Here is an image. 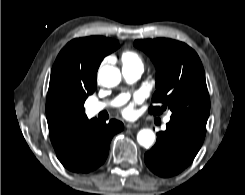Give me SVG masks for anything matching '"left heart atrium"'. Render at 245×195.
Wrapping results in <instances>:
<instances>
[{
  "label": "left heart atrium",
  "instance_id": "1",
  "mask_svg": "<svg viewBox=\"0 0 245 195\" xmlns=\"http://www.w3.org/2000/svg\"><path fill=\"white\" fill-rule=\"evenodd\" d=\"M139 100V97H135L134 101L124 108L123 114L127 117L132 116L134 114V104L139 102Z\"/></svg>",
  "mask_w": 245,
  "mask_h": 195
}]
</instances>
